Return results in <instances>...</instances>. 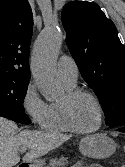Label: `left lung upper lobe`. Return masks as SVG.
Returning a JSON list of instances; mask_svg holds the SVG:
<instances>
[{"label":"left lung upper lobe","mask_w":125,"mask_h":167,"mask_svg":"<svg viewBox=\"0 0 125 167\" xmlns=\"http://www.w3.org/2000/svg\"><path fill=\"white\" fill-rule=\"evenodd\" d=\"M66 44L79 71L95 91L111 128L125 126V46L114 23L92 2L65 5Z\"/></svg>","instance_id":"5c2ea615"}]
</instances>
